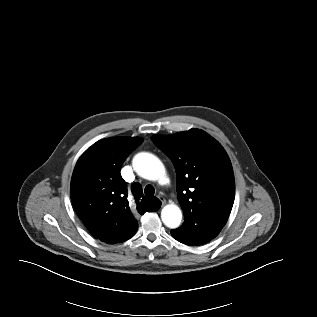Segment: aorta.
Wrapping results in <instances>:
<instances>
[{"instance_id":"1","label":"aorta","mask_w":317,"mask_h":317,"mask_svg":"<svg viewBox=\"0 0 317 317\" xmlns=\"http://www.w3.org/2000/svg\"><path fill=\"white\" fill-rule=\"evenodd\" d=\"M136 172L148 180H158L163 176L164 167L158 157L151 153H139L133 159ZM161 219L169 228H177L182 220V212L175 204L166 205L161 211Z\"/></svg>"}]
</instances>
